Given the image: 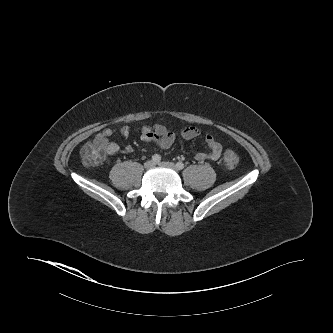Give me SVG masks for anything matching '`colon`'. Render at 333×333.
<instances>
[{
    "mask_svg": "<svg viewBox=\"0 0 333 333\" xmlns=\"http://www.w3.org/2000/svg\"><path fill=\"white\" fill-rule=\"evenodd\" d=\"M109 145L103 140H95L85 144L81 151L80 156L82 161L87 165L100 164L105 156L108 154ZM223 162L227 167L233 168L239 163V156L232 150H227L223 156Z\"/></svg>",
    "mask_w": 333,
    "mask_h": 333,
    "instance_id": "colon-1",
    "label": "colon"
}]
</instances>
